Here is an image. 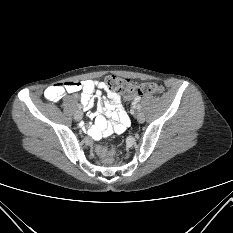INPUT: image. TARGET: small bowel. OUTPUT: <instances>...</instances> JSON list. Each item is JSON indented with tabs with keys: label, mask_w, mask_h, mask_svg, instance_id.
<instances>
[{
	"label": "small bowel",
	"mask_w": 233,
	"mask_h": 233,
	"mask_svg": "<svg viewBox=\"0 0 233 233\" xmlns=\"http://www.w3.org/2000/svg\"><path fill=\"white\" fill-rule=\"evenodd\" d=\"M82 91L81 104L84 110H89L94 105V94L98 99V113H91L90 118L95 124L88 129L93 139L121 133L130 123V118L125 111L122 98L118 93L110 91L101 78L94 80L69 81L49 86L44 91V97L51 102L60 101L66 93ZM102 93L105 95H102Z\"/></svg>",
	"instance_id": "small-bowel-1"
}]
</instances>
